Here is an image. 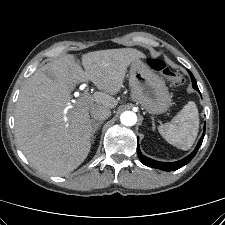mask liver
<instances>
[{"label":"liver","mask_w":225,"mask_h":225,"mask_svg":"<svg viewBox=\"0 0 225 225\" xmlns=\"http://www.w3.org/2000/svg\"><path fill=\"white\" fill-rule=\"evenodd\" d=\"M140 58L145 54L133 48L107 49L84 54L85 71L74 55H64L35 71L24 84L15 110L17 142L28 161L52 176L75 170L91 148L89 111L95 106L116 107L113 95L123 86L128 66ZM87 80L101 91L89 102L81 98L71 104V91Z\"/></svg>","instance_id":"liver-1"}]
</instances>
